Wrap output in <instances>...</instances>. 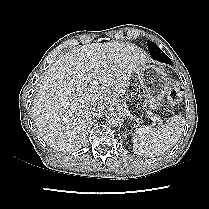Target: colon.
I'll return each instance as SVG.
<instances>
[{
    "instance_id": "1",
    "label": "colon",
    "mask_w": 209,
    "mask_h": 209,
    "mask_svg": "<svg viewBox=\"0 0 209 209\" xmlns=\"http://www.w3.org/2000/svg\"><path fill=\"white\" fill-rule=\"evenodd\" d=\"M181 97L182 91L179 87L174 86L170 88L167 96L168 102L170 104H177L181 100Z\"/></svg>"
}]
</instances>
